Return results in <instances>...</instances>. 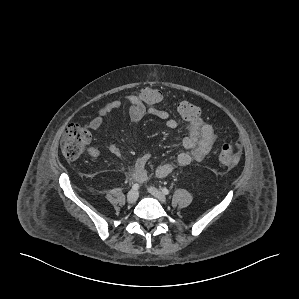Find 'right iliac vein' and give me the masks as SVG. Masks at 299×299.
Wrapping results in <instances>:
<instances>
[{
    "mask_svg": "<svg viewBox=\"0 0 299 299\" xmlns=\"http://www.w3.org/2000/svg\"><path fill=\"white\" fill-rule=\"evenodd\" d=\"M138 199V192L136 190H130L127 194L128 203H135Z\"/></svg>",
    "mask_w": 299,
    "mask_h": 299,
    "instance_id": "obj_1",
    "label": "right iliac vein"
}]
</instances>
